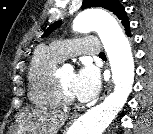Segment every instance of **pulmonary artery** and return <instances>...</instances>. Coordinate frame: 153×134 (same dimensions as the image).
Returning a JSON list of instances; mask_svg holds the SVG:
<instances>
[{
	"instance_id": "pulmonary-artery-1",
	"label": "pulmonary artery",
	"mask_w": 153,
	"mask_h": 134,
	"mask_svg": "<svg viewBox=\"0 0 153 134\" xmlns=\"http://www.w3.org/2000/svg\"><path fill=\"white\" fill-rule=\"evenodd\" d=\"M50 49L61 60L78 54L99 55L101 45L96 37L56 41L50 44Z\"/></svg>"
}]
</instances>
